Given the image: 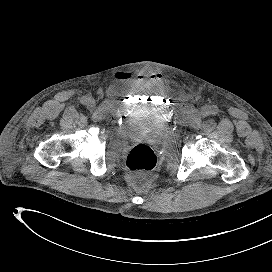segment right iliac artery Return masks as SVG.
I'll return each mask as SVG.
<instances>
[{
  "mask_svg": "<svg viewBox=\"0 0 272 272\" xmlns=\"http://www.w3.org/2000/svg\"><path fill=\"white\" fill-rule=\"evenodd\" d=\"M87 101H88V98H87V97H83V98L81 99V103H82V104H87Z\"/></svg>",
  "mask_w": 272,
  "mask_h": 272,
  "instance_id": "right-iliac-artery-1",
  "label": "right iliac artery"
}]
</instances>
